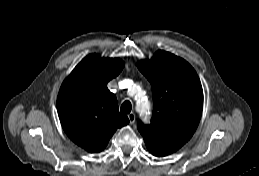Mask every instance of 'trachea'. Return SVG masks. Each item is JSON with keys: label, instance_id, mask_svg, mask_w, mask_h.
I'll use <instances>...</instances> for the list:
<instances>
[{"label": "trachea", "instance_id": "trachea-1", "mask_svg": "<svg viewBox=\"0 0 259 176\" xmlns=\"http://www.w3.org/2000/svg\"><path fill=\"white\" fill-rule=\"evenodd\" d=\"M131 109H132V105H131V102L126 100L123 102V104L121 105V108H120V111L122 113H125V114H128L131 112Z\"/></svg>", "mask_w": 259, "mask_h": 176}]
</instances>
